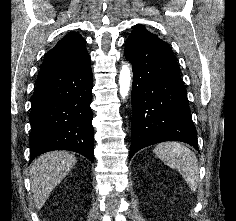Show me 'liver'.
<instances>
[{
	"mask_svg": "<svg viewBox=\"0 0 236 221\" xmlns=\"http://www.w3.org/2000/svg\"><path fill=\"white\" fill-rule=\"evenodd\" d=\"M76 157L66 151H52L40 155L30 168L31 191L37 209H41L53 189L74 167Z\"/></svg>",
	"mask_w": 236,
	"mask_h": 221,
	"instance_id": "6515ba94",
	"label": "liver"
}]
</instances>
